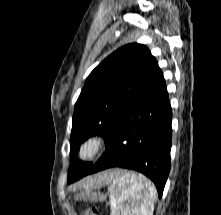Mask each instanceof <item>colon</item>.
<instances>
[{
    "instance_id": "1",
    "label": "colon",
    "mask_w": 221,
    "mask_h": 215,
    "mask_svg": "<svg viewBox=\"0 0 221 215\" xmlns=\"http://www.w3.org/2000/svg\"><path fill=\"white\" fill-rule=\"evenodd\" d=\"M83 215H100L98 210L95 208H88L84 210Z\"/></svg>"
}]
</instances>
